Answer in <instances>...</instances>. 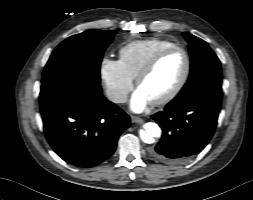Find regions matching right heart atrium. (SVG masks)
Wrapping results in <instances>:
<instances>
[{
	"label": "right heart atrium",
	"mask_w": 253,
	"mask_h": 200,
	"mask_svg": "<svg viewBox=\"0 0 253 200\" xmlns=\"http://www.w3.org/2000/svg\"><path fill=\"white\" fill-rule=\"evenodd\" d=\"M99 73L108 98L116 104L124 103L133 87V78L125 72L120 61L104 57Z\"/></svg>",
	"instance_id": "d8ad5b80"
}]
</instances>
